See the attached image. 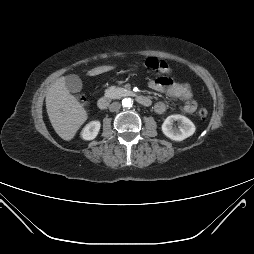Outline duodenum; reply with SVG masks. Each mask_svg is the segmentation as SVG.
Masks as SVG:
<instances>
[{
  "mask_svg": "<svg viewBox=\"0 0 254 254\" xmlns=\"http://www.w3.org/2000/svg\"><path fill=\"white\" fill-rule=\"evenodd\" d=\"M134 96L139 104H141L143 106H150L151 105V100L149 97H147L145 95H140V94H136ZM109 103H110V98L107 96H103L98 99L97 106L99 109L104 110L108 107Z\"/></svg>",
  "mask_w": 254,
  "mask_h": 254,
  "instance_id": "obj_1",
  "label": "duodenum"
}]
</instances>
